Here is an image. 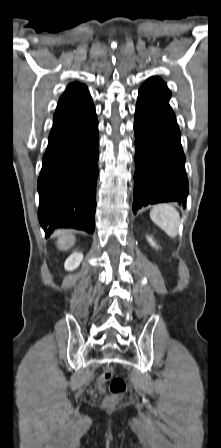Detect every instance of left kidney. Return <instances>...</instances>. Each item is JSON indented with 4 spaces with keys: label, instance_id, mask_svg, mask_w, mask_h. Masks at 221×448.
<instances>
[{
    "label": "left kidney",
    "instance_id": "5707ae66",
    "mask_svg": "<svg viewBox=\"0 0 221 448\" xmlns=\"http://www.w3.org/2000/svg\"><path fill=\"white\" fill-rule=\"evenodd\" d=\"M147 240L149 241V243L153 246V247H157L155 242L153 241V239L151 237H147Z\"/></svg>",
    "mask_w": 221,
    "mask_h": 448
}]
</instances>
